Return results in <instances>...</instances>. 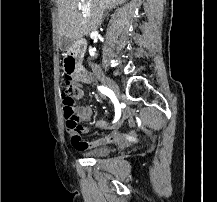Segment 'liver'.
Instances as JSON below:
<instances>
[{"label":"liver","instance_id":"liver-1","mask_svg":"<svg viewBox=\"0 0 217 202\" xmlns=\"http://www.w3.org/2000/svg\"><path fill=\"white\" fill-rule=\"evenodd\" d=\"M125 0H57L59 34L69 40H82L100 26L104 10Z\"/></svg>","mask_w":217,"mask_h":202}]
</instances>
